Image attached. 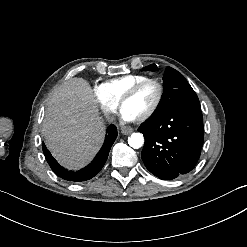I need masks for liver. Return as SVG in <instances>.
<instances>
[{
  "label": "liver",
  "instance_id": "obj_1",
  "mask_svg": "<svg viewBox=\"0 0 247 247\" xmlns=\"http://www.w3.org/2000/svg\"><path fill=\"white\" fill-rule=\"evenodd\" d=\"M105 125L93 90L83 78H71L54 93L46 110L42 132L58 163L80 169L101 148Z\"/></svg>",
  "mask_w": 247,
  "mask_h": 247
}]
</instances>
